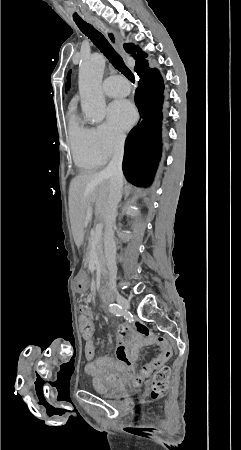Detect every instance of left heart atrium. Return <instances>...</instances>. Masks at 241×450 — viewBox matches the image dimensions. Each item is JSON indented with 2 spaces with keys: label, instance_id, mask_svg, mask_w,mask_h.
Listing matches in <instances>:
<instances>
[{
  "label": "left heart atrium",
  "instance_id": "obj_1",
  "mask_svg": "<svg viewBox=\"0 0 241 450\" xmlns=\"http://www.w3.org/2000/svg\"><path fill=\"white\" fill-rule=\"evenodd\" d=\"M135 120L136 112L129 100H115L108 108L109 124L118 131L128 130Z\"/></svg>",
  "mask_w": 241,
  "mask_h": 450
}]
</instances>
